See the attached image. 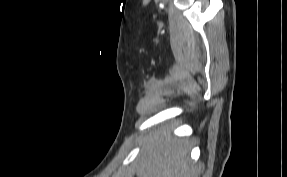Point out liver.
I'll return each mask as SVG.
<instances>
[{"label": "liver", "instance_id": "1", "mask_svg": "<svg viewBox=\"0 0 287 177\" xmlns=\"http://www.w3.org/2000/svg\"><path fill=\"white\" fill-rule=\"evenodd\" d=\"M169 133L170 129L162 127L143 142L136 165L138 177H195L194 164L189 158L191 142Z\"/></svg>", "mask_w": 287, "mask_h": 177}]
</instances>
